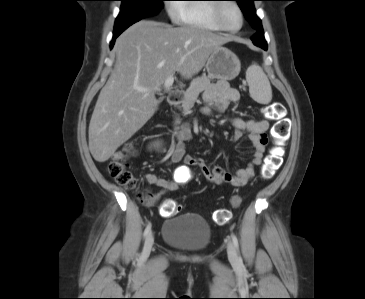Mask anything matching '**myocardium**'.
<instances>
[{
	"instance_id": "obj_1",
	"label": "myocardium",
	"mask_w": 365,
	"mask_h": 299,
	"mask_svg": "<svg viewBox=\"0 0 365 299\" xmlns=\"http://www.w3.org/2000/svg\"><path fill=\"white\" fill-rule=\"evenodd\" d=\"M227 5H233L240 14L241 22H240L239 27H237V28H229L223 24V12ZM213 17H214V21L218 25L219 29L224 32H228V33H237L238 31H240L242 29L244 22H245V15H244L243 9L235 0H224V2L217 3L215 6V9H214Z\"/></svg>"
}]
</instances>
